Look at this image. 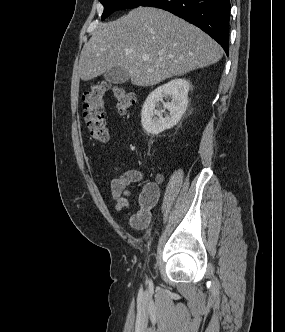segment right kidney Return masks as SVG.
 <instances>
[{
  "label": "right kidney",
  "mask_w": 285,
  "mask_h": 332,
  "mask_svg": "<svg viewBox=\"0 0 285 332\" xmlns=\"http://www.w3.org/2000/svg\"><path fill=\"white\" fill-rule=\"evenodd\" d=\"M189 87L190 84L186 79H174L148 95L141 112V124L148 134L162 133L180 121L188 105ZM164 97H170L171 101L164 102ZM159 102H162L163 108L169 111L165 116L158 106Z\"/></svg>",
  "instance_id": "ca27d5eb"
}]
</instances>
